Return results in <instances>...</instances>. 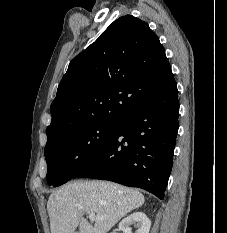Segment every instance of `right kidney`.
Segmentation results:
<instances>
[{
    "label": "right kidney",
    "instance_id": "1",
    "mask_svg": "<svg viewBox=\"0 0 227 233\" xmlns=\"http://www.w3.org/2000/svg\"><path fill=\"white\" fill-rule=\"evenodd\" d=\"M137 228L135 233H149L151 221L143 212H134L119 223V230L123 233H132L130 225Z\"/></svg>",
    "mask_w": 227,
    "mask_h": 233
}]
</instances>
